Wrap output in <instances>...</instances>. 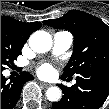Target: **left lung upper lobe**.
Masks as SVG:
<instances>
[{"instance_id":"left-lung-upper-lobe-1","label":"left lung upper lobe","mask_w":109,"mask_h":109,"mask_svg":"<svg viewBox=\"0 0 109 109\" xmlns=\"http://www.w3.org/2000/svg\"><path fill=\"white\" fill-rule=\"evenodd\" d=\"M44 24L69 30L74 36V51L62 77L80 75L91 69L109 71V26L99 18L79 10Z\"/></svg>"}]
</instances>
